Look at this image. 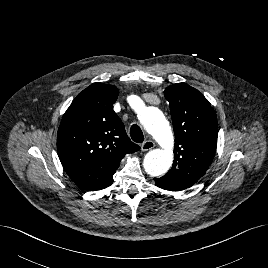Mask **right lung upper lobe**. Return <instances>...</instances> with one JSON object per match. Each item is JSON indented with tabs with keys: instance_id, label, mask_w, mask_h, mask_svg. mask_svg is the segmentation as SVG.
<instances>
[{
	"instance_id": "1",
	"label": "right lung upper lobe",
	"mask_w": 268,
	"mask_h": 268,
	"mask_svg": "<svg viewBox=\"0 0 268 268\" xmlns=\"http://www.w3.org/2000/svg\"><path fill=\"white\" fill-rule=\"evenodd\" d=\"M117 97L115 86L91 84L73 100L58 129L61 164L73 182L87 191L110 186L121 159L140 149L113 110Z\"/></svg>"
}]
</instances>
